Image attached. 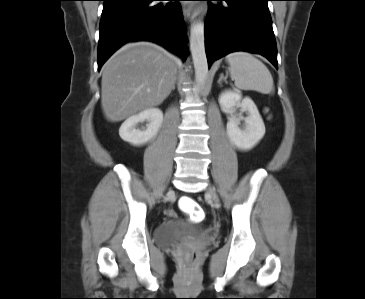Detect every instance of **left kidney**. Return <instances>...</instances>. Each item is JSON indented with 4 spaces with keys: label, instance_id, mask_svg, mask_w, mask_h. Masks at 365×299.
<instances>
[{
    "label": "left kidney",
    "instance_id": "left-kidney-1",
    "mask_svg": "<svg viewBox=\"0 0 365 299\" xmlns=\"http://www.w3.org/2000/svg\"><path fill=\"white\" fill-rule=\"evenodd\" d=\"M218 101L222 111L230 115L227 122V135L230 141L238 149H252L265 134V125L255 103L248 97L242 98L239 92L231 90L221 93ZM238 108L242 112H247L248 116L238 118L235 114ZM241 119L245 121L243 128L239 127Z\"/></svg>",
    "mask_w": 365,
    "mask_h": 299
}]
</instances>
